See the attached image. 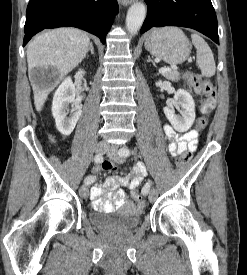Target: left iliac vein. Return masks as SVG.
<instances>
[{
	"instance_id": "1",
	"label": "left iliac vein",
	"mask_w": 247,
	"mask_h": 275,
	"mask_svg": "<svg viewBox=\"0 0 247 275\" xmlns=\"http://www.w3.org/2000/svg\"><path fill=\"white\" fill-rule=\"evenodd\" d=\"M123 148H126V147H123ZM107 155L110 159H112L114 162H117V163H121L123 160L121 158V156L119 155V150H118V147L116 146H112L110 147V149L108 150L107 152ZM142 194L143 195H147L148 193H146L144 190H142ZM156 196H157V191L156 190H153L152 192H150L149 194V200L150 201H153L156 199Z\"/></svg>"
}]
</instances>
